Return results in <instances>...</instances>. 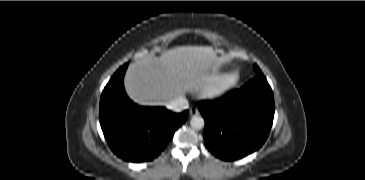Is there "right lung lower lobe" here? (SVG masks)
I'll list each match as a JSON object with an SVG mask.
<instances>
[{"mask_svg":"<svg viewBox=\"0 0 365 180\" xmlns=\"http://www.w3.org/2000/svg\"><path fill=\"white\" fill-rule=\"evenodd\" d=\"M127 64L120 67L104 88L99 120L111 150L130 162L151 161L167 146L188 110L173 113L164 107L134 104L126 95L123 78Z\"/></svg>","mask_w":365,"mask_h":180,"instance_id":"1","label":"right lung lower lobe"}]
</instances>
